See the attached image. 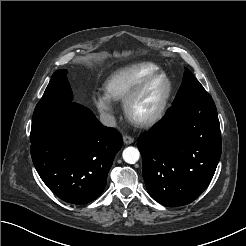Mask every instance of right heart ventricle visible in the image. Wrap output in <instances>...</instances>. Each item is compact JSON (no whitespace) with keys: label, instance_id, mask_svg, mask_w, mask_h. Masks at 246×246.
<instances>
[{"label":"right heart ventricle","instance_id":"right-heart-ventricle-1","mask_svg":"<svg viewBox=\"0 0 246 246\" xmlns=\"http://www.w3.org/2000/svg\"><path fill=\"white\" fill-rule=\"evenodd\" d=\"M159 71L161 68L151 62L136 63L119 68L106 80V94L113 100H124L140 81Z\"/></svg>","mask_w":246,"mask_h":246}]
</instances>
